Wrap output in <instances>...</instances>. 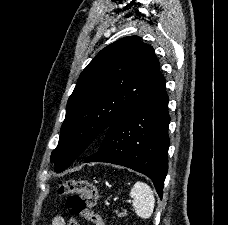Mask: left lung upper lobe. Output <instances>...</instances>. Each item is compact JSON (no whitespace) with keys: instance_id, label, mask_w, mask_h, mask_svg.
Here are the masks:
<instances>
[{"instance_id":"1","label":"left lung upper lobe","mask_w":228,"mask_h":225,"mask_svg":"<svg viewBox=\"0 0 228 225\" xmlns=\"http://www.w3.org/2000/svg\"><path fill=\"white\" fill-rule=\"evenodd\" d=\"M141 40L129 36L108 45L80 74L51 155L56 172L69 167L162 75L152 46Z\"/></svg>"}]
</instances>
